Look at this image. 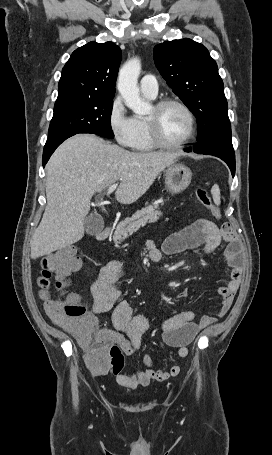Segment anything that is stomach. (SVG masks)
Listing matches in <instances>:
<instances>
[{"label":"stomach","mask_w":272,"mask_h":455,"mask_svg":"<svg viewBox=\"0 0 272 455\" xmlns=\"http://www.w3.org/2000/svg\"><path fill=\"white\" fill-rule=\"evenodd\" d=\"M191 170L180 163H172L165 169V184L172 194L185 190L191 182Z\"/></svg>","instance_id":"1"}]
</instances>
